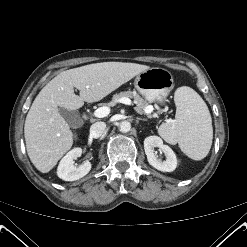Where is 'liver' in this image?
<instances>
[{
  "instance_id": "1",
  "label": "liver",
  "mask_w": 247,
  "mask_h": 247,
  "mask_svg": "<svg viewBox=\"0 0 247 247\" xmlns=\"http://www.w3.org/2000/svg\"><path fill=\"white\" fill-rule=\"evenodd\" d=\"M149 68L136 63L102 62L63 71L48 82L25 120L26 149L33 165L42 173L49 172L76 138L58 107L72 111L84 102L100 101ZM74 87L80 91L79 96Z\"/></svg>"
}]
</instances>
